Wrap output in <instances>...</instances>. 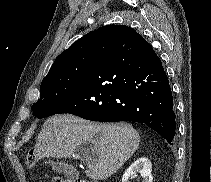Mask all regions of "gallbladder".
<instances>
[{
  "instance_id": "obj_1",
  "label": "gallbladder",
  "mask_w": 211,
  "mask_h": 182,
  "mask_svg": "<svg viewBox=\"0 0 211 182\" xmlns=\"http://www.w3.org/2000/svg\"><path fill=\"white\" fill-rule=\"evenodd\" d=\"M92 153H94L93 148L91 147ZM86 151V144H82L79 146L78 150H77V156L83 160V153ZM45 164H50L52 166V168L58 172L59 174H63L64 176L68 177V178H73L76 174L75 169L71 166L68 165L67 163L61 162V161H53L51 159H48L47 161H45Z\"/></svg>"
}]
</instances>
